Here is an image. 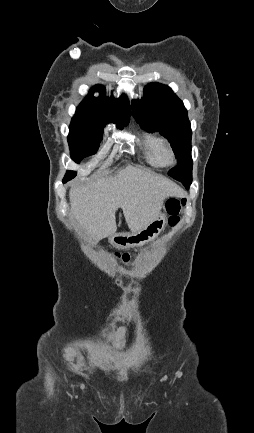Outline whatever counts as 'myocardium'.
<instances>
[{"label":"myocardium","instance_id":"f54148a6","mask_svg":"<svg viewBox=\"0 0 254 433\" xmlns=\"http://www.w3.org/2000/svg\"><path fill=\"white\" fill-rule=\"evenodd\" d=\"M163 158L166 164L175 165L177 163L176 154L174 150L169 146H165L163 150Z\"/></svg>","mask_w":254,"mask_h":433}]
</instances>
